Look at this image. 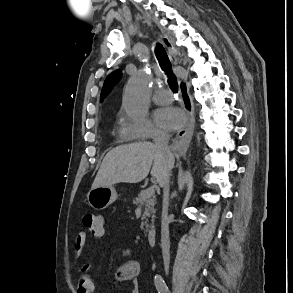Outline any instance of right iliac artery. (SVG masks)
I'll return each mask as SVG.
<instances>
[{"label": "right iliac artery", "mask_w": 293, "mask_h": 293, "mask_svg": "<svg viewBox=\"0 0 293 293\" xmlns=\"http://www.w3.org/2000/svg\"><path fill=\"white\" fill-rule=\"evenodd\" d=\"M154 282L158 293H169L168 287L160 275L155 276Z\"/></svg>", "instance_id": "obj_1"}]
</instances>
